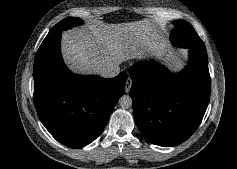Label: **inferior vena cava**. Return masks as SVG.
Segmentation results:
<instances>
[{"instance_id": "obj_1", "label": "inferior vena cava", "mask_w": 237, "mask_h": 169, "mask_svg": "<svg viewBox=\"0 0 237 169\" xmlns=\"http://www.w3.org/2000/svg\"><path fill=\"white\" fill-rule=\"evenodd\" d=\"M119 73H120V67L116 64H111L104 67L101 70L100 75L104 78H113L117 76Z\"/></svg>"}]
</instances>
